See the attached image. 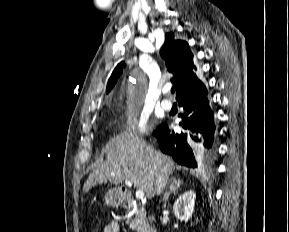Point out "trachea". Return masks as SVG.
I'll use <instances>...</instances> for the list:
<instances>
[{"instance_id":"3493384b","label":"trachea","mask_w":289,"mask_h":232,"mask_svg":"<svg viewBox=\"0 0 289 232\" xmlns=\"http://www.w3.org/2000/svg\"><path fill=\"white\" fill-rule=\"evenodd\" d=\"M175 92V87H173L172 89H171V93H174Z\"/></svg>"}]
</instances>
